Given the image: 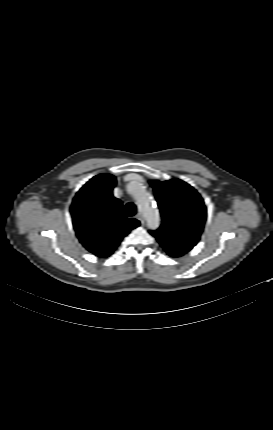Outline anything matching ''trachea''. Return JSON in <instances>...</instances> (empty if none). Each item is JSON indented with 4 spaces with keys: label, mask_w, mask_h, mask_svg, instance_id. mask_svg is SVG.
Masks as SVG:
<instances>
[{
    "label": "trachea",
    "mask_w": 273,
    "mask_h": 430,
    "mask_svg": "<svg viewBox=\"0 0 273 430\" xmlns=\"http://www.w3.org/2000/svg\"><path fill=\"white\" fill-rule=\"evenodd\" d=\"M125 213L128 217L134 216L136 214V206L133 203H127Z\"/></svg>",
    "instance_id": "1"
}]
</instances>
